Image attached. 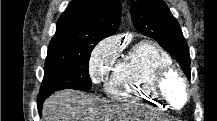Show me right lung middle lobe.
I'll return each mask as SVG.
<instances>
[{"label": "right lung middle lobe", "mask_w": 217, "mask_h": 121, "mask_svg": "<svg viewBox=\"0 0 217 121\" xmlns=\"http://www.w3.org/2000/svg\"><path fill=\"white\" fill-rule=\"evenodd\" d=\"M98 42H50L38 99L61 89L90 90L88 64Z\"/></svg>", "instance_id": "1"}]
</instances>
